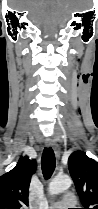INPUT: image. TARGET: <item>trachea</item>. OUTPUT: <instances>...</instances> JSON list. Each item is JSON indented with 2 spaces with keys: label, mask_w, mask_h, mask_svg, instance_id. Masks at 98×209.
<instances>
[{
  "label": "trachea",
  "mask_w": 98,
  "mask_h": 209,
  "mask_svg": "<svg viewBox=\"0 0 98 209\" xmlns=\"http://www.w3.org/2000/svg\"><path fill=\"white\" fill-rule=\"evenodd\" d=\"M42 172L45 179H49L56 166L55 154L51 147L45 148L41 158Z\"/></svg>",
  "instance_id": "trachea-1"
}]
</instances>
